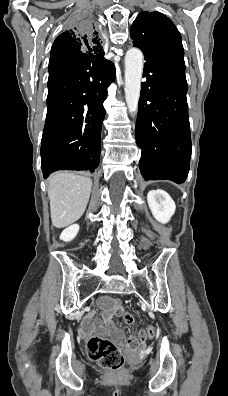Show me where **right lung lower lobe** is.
Masks as SVG:
<instances>
[{"mask_svg": "<svg viewBox=\"0 0 228 396\" xmlns=\"http://www.w3.org/2000/svg\"><path fill=\"white\" fill-rule=\"evenodd\" d=\"M51 70L41 140L43 176L57 170L93 172L99 165L103 102L115 66L105 58L77 55L50 60Z\"/></svg>", "mask_w": 228, "mask_h": 396, "instance_id": "98d812e1", "label": "right lung lower lobe"}]
</instances>
